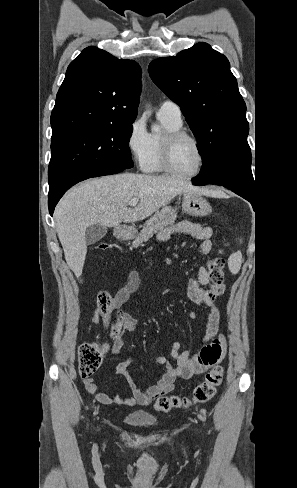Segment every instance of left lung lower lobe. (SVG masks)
<instances>
[{
  "label": "left lung lower lobe",
  "mask_w": 297,
  "mask_h": 488,
  "mask_svg": "<svg viewBox=\"0 0 297 488\" xmlns=\"http://www.w3.org/2000/svg\"><path fill=\"white\" fill-rule=\"evenodd\" d=\"M192 181H193L194 185H205V184L197 181V179L195 177L192 179ZM209 184L224 186V187L230 189L231 191H233L234 193L238 194L239 196L243 197L244 199L248 200L251 204L254 203V195H255L254 191L250 190V189H248L242 185H239V184H236L233 182H229V181H219V182H213V183H209Z\"/></svg>",
  "instance_id": "1"
}]
</instances>
